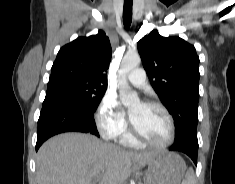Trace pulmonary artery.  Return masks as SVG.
<instances>
[{
    "mask_svg": "<svg viewBox=\"0 0 235 184\" xmlns=\"http://www.w3.org/2000/svg\"><path fill=\"white\" fill-rule=\"evenodd\" d=\"M126 79L131 85L142 88L146 84L147 75L143 69L138 68L129 72Z\"/></svg>",
    "mask_w": 235,
    "mask_h": 184,
    "instance_id": "pulmonary-artery-1",
    "label": "pulmonary artery"
}]
</instances>
